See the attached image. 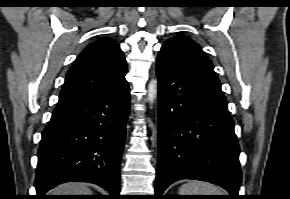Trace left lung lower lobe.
Segmentation results:
<instances>
[{"label":"left lung lower lobe","mask_w":290,"mask_h":199,"mask_svg":"<svg viewBox=\"0 0 290 199\" xmlns=\"http://www.w3.org/2000/svg\"><path fill=\"white\" fill-rule=\"evenodd\" d=\"M158 172L155 192L182 179L225 188L238 199L239 144L220 82L190 70L163 51L156 61Z\"/></svg>","instance_id":"obj_1"}]
</instances>
